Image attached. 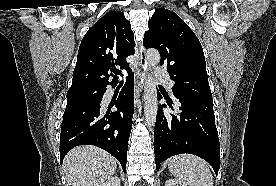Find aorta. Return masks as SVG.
Wrapping results in <instances>:
<instances>
[{
  "label": "aorta",
  "mask_w": 276,
  "mask_h": 186,
  "mask_svg": "<svg viewBox=\"0 0 276 186\" xmlns=\"http://www.w3.org/2000/svg\"><path fill=\"white\" fill-rule=\"evenodd\" d=\"M160 53L156 49H149L146 52L147 71L154 68L160 62ZM157 88L155 78L147 73L144 85V116L148 127L155 125L157 116Z\"/></svg>",
  "instance_id": "obj_1"
}]
</instances>
